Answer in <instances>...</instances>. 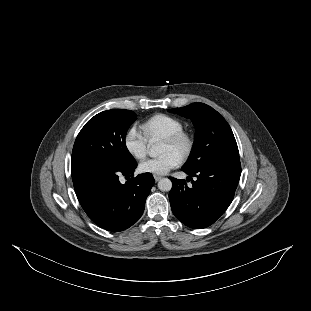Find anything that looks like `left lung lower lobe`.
Here are the masks:
<instances>
[{
  "label": "left lung lower lobe",
  "mask_w": 311,
  "mask_h": 311,
  "mask_svg": "<svg viewBox=\"0 0 311 311\" xmlns=\"http://www.w3.org/2000/svg\"><path fill=\"white\" fill-rule=\"evenodd\" d=\"M182 170L191 177L185 180L170 177L169 200L173 214L190 228H206L213 224L231 204L240 175V160H224L194 171Z\"/></svg>",
  "instance_id": "left-lung-lower-lobe-1"
}]
</instances>
